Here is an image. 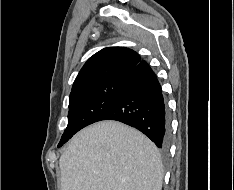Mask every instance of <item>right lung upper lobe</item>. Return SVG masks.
<instances>
[{"instance_id":"1","label":"right lung upper lobe","mask_w":234,"mask_h":190,"mask_svg":"<svg viewBox=\"0 0 234 190\" xmlns=\"http://www.w3.org/2000/svg\"><path fill=\"white\" fill-rule=\"evenodd\" d=\"M140 62V56L131 49L104 48L84 64L73 83L71 94L112 80L124 79Z\"/></svg>"}]
</instances>
